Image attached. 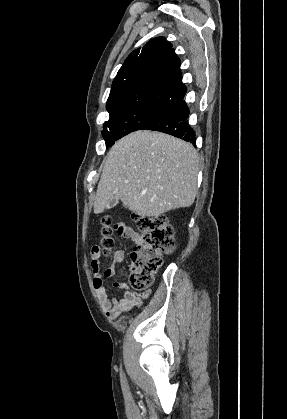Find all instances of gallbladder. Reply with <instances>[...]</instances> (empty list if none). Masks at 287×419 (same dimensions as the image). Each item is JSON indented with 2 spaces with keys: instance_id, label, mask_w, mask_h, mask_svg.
I'll use <instances>...</instances> for the list:
<instances>
[{
  "instance_id": "bac80fb5",
  "label": "gallbladder",
  "mask_w": 287,
  "mask_h": 419,
  "mask_svg": "<svg viewBox=\"0 0 287 419\" xmlns=\"http://www.w3.org/2000/svg\"><path fill=\"white\" fill-rule=\"evenodd\" d=\"M117 204H118V199L113 198V199H111V200L107 203L106 208H107V209H112V208H114Z\"/></svg>"
}]
</instances>
